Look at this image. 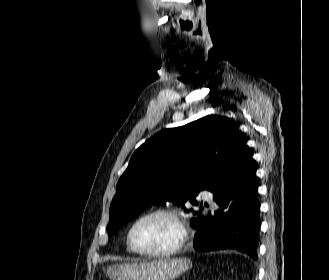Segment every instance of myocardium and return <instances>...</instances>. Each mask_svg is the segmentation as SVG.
<instances>
[{
    "label": "myocardium",
    "instance_id": "1",
    "mask_svg": "<svg viewBox=\"0 0 329 280\" xmlns=\"http://www.w3.org/2000/svg\"><path fill=\"white\" fill-rule=\"evenodd\" d=\"M154 216L168 217L169 219H171L173 221V223L175 224V226L177 228L178 239H177L176 243L168 249L161 250V251L144 250V249L139 248L134 240V232H135L136 227L143 220L148 219L150 217H154ZM186 241H187V230L185 228V225H184L181 217L179 216V214L176 211L169 209V208H156V209L150 210V211L142 214L133 222L132 226L130 227L129 233H128V242H129V245L132 248V250L139 255L149 256V257H167L170 255H173V254L177 253L184 246Z\"/></svg>",
    "mask_w": 329,
    "mask_h": 280
}]
</instances>
